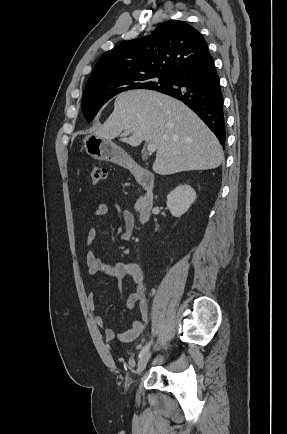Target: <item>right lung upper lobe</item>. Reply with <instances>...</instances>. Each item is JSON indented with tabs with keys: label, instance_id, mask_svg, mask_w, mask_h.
I'll return each mask as SVG.
<instances>
[{
	"label": "right lung upper lobe",
	"instance_id": "right-lung-upper-lobe-1",
	"mask_svg": "<svg viewBox=\"0 0 287 434\" xmlns=\"http://www.w3.org/2000/svg\"><path fill=\"white\" fill-rule=\"evenodd\" d=\"M208 54L204 38L194 27L185 21L169 20L150 35L105 52L87 83L149 74L175 77Z\"/></svg>",
	"mask_w": 287,
	"mask_h": 434
}]
</instances>
